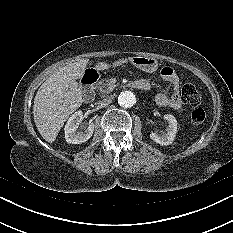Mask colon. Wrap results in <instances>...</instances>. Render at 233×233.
<instances>
[{"instance_id": "obj_1", "label": "colon", "mask_w": 233, "mask_h": 233, "mask_svg": "<svg viewBox=\"0 0 233 233\" xmlns=\"http://www.w3.org/2000/svg\"><path fill=\"white\" fill-rule=\"evenodd\" d=\"M181 95L184 101L193 107L191 112V121L195 125H202L205 121V112L200 107L201 95L194 84L186 82L181 90Z\"/></svg>"}]
</instances>
